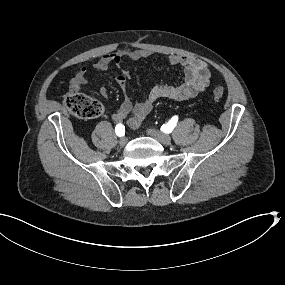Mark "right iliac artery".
Here are the masks:
<instances>
[{
    "label": "right iliac artery",
    "instance_id": "1",
    "mask_svg": "<svg viewBox=\"0 0 285 285\" xmlns=\"http://www.w3.org/2000/svg\"><path fill=\"white\" fill-rule=\"evenodd\" d=\"M115 132H116L117 136H119V137L124 136L125 135L124 125H122L121 123L117 124L115 127Z\"/></svg>",
    "mask_w": 285,
    "mask_h": 285
}]
</instances>
